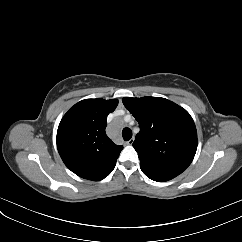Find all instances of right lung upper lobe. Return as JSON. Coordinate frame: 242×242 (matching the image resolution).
Wrapping results in <instances>:
<instances>
[{
    "instance_id": "obj_1",
    "label": "right lung upper lobe",
    "mask_w": 242,
    "mask_h": 242,
    "mask_svg": "<svg viewBox=\"0 0 242 242\" xmlns=\"http://www.w3.org/2000/svg\"><path fill=\"white\" fill-rule=\"evenodd\" d=\"M117 99H85L76 103L62 118L57 130V148L65 165L76 175L93 181L114 169L123 146L105 133L107 116Z\"/></svg>"
}]
</instances>
